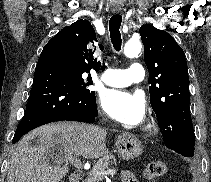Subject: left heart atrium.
<instances>
[{"label":"left heart atrium","instance_id":"1","mask_svg":"<svg viewBox=\"0 0 211 182\" xmlns=\"http://www.w3.org/2000/svg\"><path fill=\"white\" fill-rule=\"evenodd\" d=\"M101 105L111 118L127 126L138 125L145 118L144 99L126 90H105L101 95Z\"/></svg>","mask_w":211,"mask_h":182}]
</instances>
